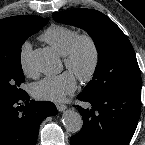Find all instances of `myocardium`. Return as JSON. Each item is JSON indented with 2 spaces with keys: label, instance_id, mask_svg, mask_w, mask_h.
I'll return each instance as SVG.
<instances>
[{
  "label": "myocardium",
  "instance_id": "f54148a6",
  "mask_svg": "<svg viewBox=\"0 0 145 145\" xmlns=\"http://www.w3.org/2000/svg\"><path fill=\"white\" fill-rule=\"evenodd\" d=\"M83 47H87L90 53V63L87 70L77 75L82 82L90 81L96 74L100 63V51L96 40L88 33L78 34L69 51L64 56L65 67L69 70L75 68L79 54Z\"/></svg>",
  "mask_w": 145,
  "mask_h": 145
}]
</instances>
